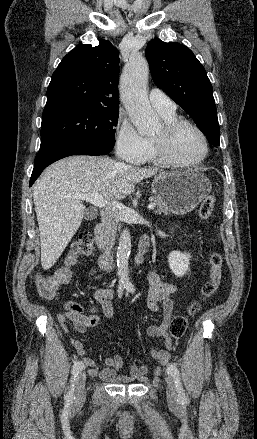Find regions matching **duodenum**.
<instances>
[{
  "label": "duodenum",
  "mask_w": 257,
  "mask_h": 439,
  "mask_svg": "<svg viewBox=\"0 0 257 439\" xmlns=\"http://www.w3.org/2000/svg\"><path fill=\"white\" fill-rule=\"evenodd\" d=\"M95 239L98 247L102 250V254L99 257L98 263L102 270H109L110 268V259L105 251V238H104V225L98 224L95 229ZM148 250V241L142 240L138 245V251L134 259V265L137 267L142 264L143 257L146 251Z\"/></svg>",
  "instance_id": "1"
}]
</instances>
